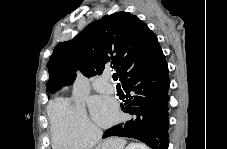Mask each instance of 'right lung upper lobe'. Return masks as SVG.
<instances>
[{"instance_id": "obj_1", "label": "right lung upper lobe", "mask_w": 227, "mask_h": 149, "mask_svg": "<svg viewBox=\"0 0 227 149\" xmlns=\"http://www.w3.org/2000/svg\"><path fill=\"white\" fill-rule=\"evenodd\" d=\"M163 57L157 36L145 23L130 13H113L90 23L72 40L55 46L47 64V90L56 92L62 82L70 85L77 69L90 77L111 67L122 83Z\"/></svg>"}]
</instances>
